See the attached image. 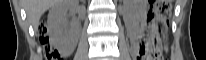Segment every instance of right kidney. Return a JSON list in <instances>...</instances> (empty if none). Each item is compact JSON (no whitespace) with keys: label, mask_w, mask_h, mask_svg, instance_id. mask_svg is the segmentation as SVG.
Masks as SVG:
<instances>
[{"label":"right kidney","mask_w":206,"mask_h":60,"mask_svg":"<svg viewBox=\"0 0 206 60\" xmlns=\"http://www.w3.org/2000/svg\"><path fill=\"white\" fill-rule=\"evenodd\" d=\"M75 3L62 1L52 7L48 15V28L52 41L60 50H71L78 38V28L68 26L67 12L74 11Z\"/></svg>","instance_id":"right-kidney-1"}]
</instances>
